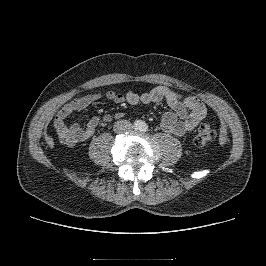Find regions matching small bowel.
I'll list each match as a JSON object with an SVG mask.
<instances>
[{
    "mask_svg": "<svg viewBox=\"0 0 266 266\" xmlns=\"http://www.w3.org/2000/svg\"><path fill=\"white\" fill-rule=\"evenodd\" d=\"M105 96L116 104L125 102L129 104H151L165 101L170 110L162 114L160 126L164 132L178 137L193 131L208 115L206 106L197 97H182L166 86H158L142 94L135 92L122 94L108 90ZM101 98L102 94L100 92L91 91L80 98L71 100L58 111L54 119V129L61 143L69 147L81 144L94 136L99 125H105L115 119L122 118L123 113L116 112L103 116L93 115L84 127L77 123L67 124V119L73 113L86 109Z\"/></svg>",
    "mask_w": 266,
    "mask_h": 266,
    "instance_id": "small-bowel-1",
    "label": "small bowel"
}]
</instances>
